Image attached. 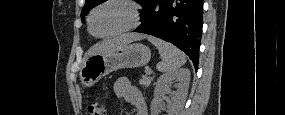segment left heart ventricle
<instances>
[{
    "instance_id": "1",
    "label": "left heart ventricle",
    "mask_w": 285,
    "mask_h": 115,
    "mask_svg": "<svg viewBox=\"0 0 285 115\" xmlns=\"http://www.w3.org/2000/svg\"><path fill=\"white\" fill-rule=\"evenodd\" d=\"M130 22L129 11L118 4H107L99 8L92 17V31L96 34H106L117 31Z\"/></svg>"
}]
</instances>
